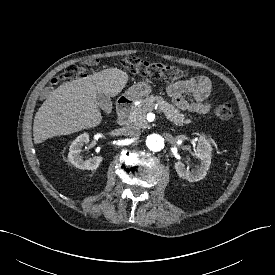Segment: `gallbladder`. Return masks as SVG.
I'll return each instance as SVG.
<instances>
[{"label":"gallbladder","mask_w":275,"mask_h":275,"mask_svg":"<svg viewBox=\"0 0 275 275\" xmlns=\"http://www.w3.org/2000/svg\"><path fill=\"white\" fill-rule=\"evenodd\" d=\"M97 103L99 107L106 113H110L112 111L113 105L110 97L106 94H97L96 97Z\"/></svg>","instance_id":"1"}]
</instances>
